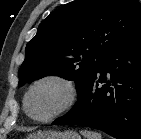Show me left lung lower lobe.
I'll list each match as a JSON object with an SVG mask.
<instances>
[{
	"instance_id": "0a47b994",
	"label": "left lung lower lobe",
	"mask_w": 141,
	"mask_h": 139,
	"mask_svg": "<svg viewBox=\"0 0 141 139\" xmlns=\"http://www.w3.org/2000/svg\"><path fill=\"white\" fill-rule=\"evenodd\" d=\"M52 124L88 126L118 139H141V27L107 53L77 103Z\"/></svg>"
}]
</instances>
